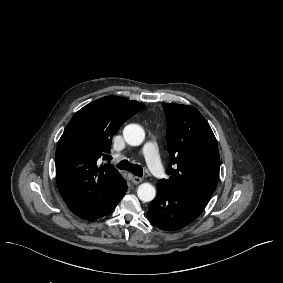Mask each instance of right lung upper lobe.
<instances>
[{
  "mask_svg": "<svg viewBox=\"0 0 283 283\" xmlns=\"http://www.w3.org/2000/svg\"><path fill=\"white\" fill-rule=\"evenodd\" d=\"M144 104L118 96L100 98L80 109L70 120L56 150V180L69 209L82 216L110 203L126 183L101 159L111 158L112 137Z\"/></svg>",
  "mask_w": 283,
  "mask_h": 283,
  "instance_id": "obj_1",
  "label": "right lung upper lobe"
}]
</instances>
